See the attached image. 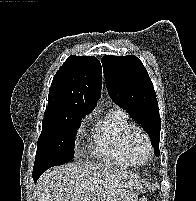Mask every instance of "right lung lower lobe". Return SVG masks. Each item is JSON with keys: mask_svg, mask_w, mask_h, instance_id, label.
Instances as JSON below:
<instances>
[{"mask_svg": "<svg viewBox=\"0 0 196 201\" xmlns=\"http://www.w3.org/2000/svg\"><path fill=\"white\" fill-rule=\"evenodd\" d=\"M40 175L41 174H35V173H33V179H34L35 182L37 181V179L39 178Z\"/></svg>", "mask_w": 196, "mask_h": 201, "instance_id": "right-lung-lower-lobe-1", "label": "right lung lower lobe"}]
</instances>
